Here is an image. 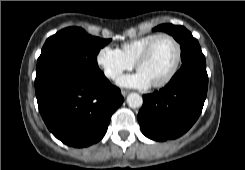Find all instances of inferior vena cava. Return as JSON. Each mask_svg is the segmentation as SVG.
Masks as SVG:
<instances>
[{
	"label": "inferior vena cava",
	"mask_w": 245,
	"mask_h": 170,
	"mask_svg": "<svg viewBox=\"0 0 245 170\" xmlns=\"http://www.w3.org/2000/svg\"><path fill=\"white\" fill-rule=\"evenodd\" d=\"M116 72H114V71H110V72H108L107 73V75L109 76V77H112V78H114L115 76H116Z\"/></svg>",
	"instance_id": "602c4592"
}]
</instances>
